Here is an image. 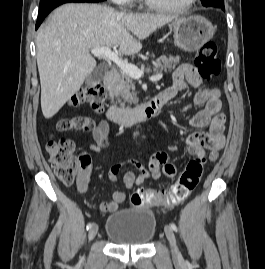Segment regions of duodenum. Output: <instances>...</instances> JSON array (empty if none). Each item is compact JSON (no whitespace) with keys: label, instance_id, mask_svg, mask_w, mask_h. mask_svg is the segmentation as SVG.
Segmentation results:
<instances>
[{"label":"duodenum","instance_id":"410a0bca","mask_svg":"<svg viewBox=\"0 0 265 269\" xmlns=\"http://www.w3.org/2000/svg\"><path fill=\"white\" fill-rule=\"evenodd\" d=\"M117 80L118 72L114 69L108 70L104 77L103 85L111 99H113L115 94ZM162 104L161 94L154 96L148 102L132 109H122L111 104L106 111V117L109 121L115 124L129 125L144 119L152 118L158 113Z\"/></svg>","mask_w":265,"mask_h":269}]
</instances>
